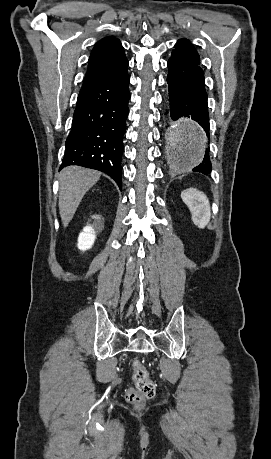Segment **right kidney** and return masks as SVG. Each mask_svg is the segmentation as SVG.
I'll use <instances>...</instances> for the list:
<instances>
[{
  "label": "right kidney",
  "instance_id": "1",
  "mask_svg": "<svg viewBox=\"0 0 271 459\" xmlns=\"http://www.w3.org/2000/svg\"><path fill=\"white\" fill-rule=\"evenodd\" d=\"M95 218L93 224H89L86 228H83V231L79 233L78 237V247L85 251V249H90L92 247L97 231H101L104 228V222L98 216H93Z\"/></svg>",
  "mask_w": 271,
  "mask_h": 459
}]
</instances>
